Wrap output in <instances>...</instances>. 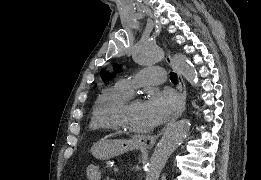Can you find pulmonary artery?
Instances as JSON below:
<instances>
[{
    "mask_svg": "<svg viewBox=\"0 0 261 180\" xmlns=\"http://www.w3.org/2000/svg\"><path fill=\"white\" fill-rule=\"evenodd\" d=\"M163 77V69H141L136 74L120 80L118 84L129 93L134 88H141V84L158 82L163 80Z\"/></svg>",
    "mask_w": 261,
    "mask_h": 180,
    "instance_id": "obj_1",
    "label": "pulmonary artery"
}]
</instances>
